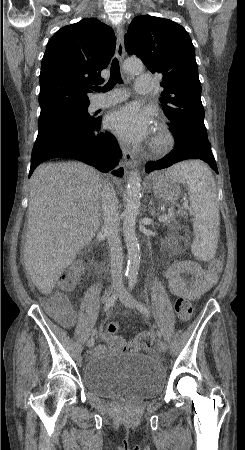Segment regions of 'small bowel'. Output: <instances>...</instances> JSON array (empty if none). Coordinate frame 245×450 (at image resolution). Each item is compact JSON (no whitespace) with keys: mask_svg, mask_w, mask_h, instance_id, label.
<instances>
[{"mask_svg":"<svg viewBox=\"0 0 245 450\" xmlns=\"http://www.w3.org/2000/svg\"><path fill=\"white\" fill-rule=\"evenodd\" d=\"M192 277L191 281L185 279ZM166 283L169 290L180 297L195 298L211 289L218 280L217 274L211 270L203 269L189 260H179L173 264L166 273ZM108 347L100 345L96 353L107 352Z\"/></svg>","mask_w":245,"mask_h":450,"instance_id":"obj_1","label":"small bowel"}]
</instances>
